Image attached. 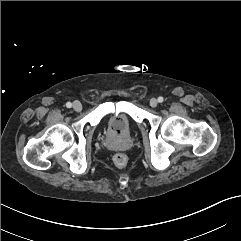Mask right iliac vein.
I'll list each match as a JSON object with an SVG mask.
<instances>
[{
	"mask_svg": "<svg viewBox=\"0 0 241 241\" xmlns=\"http://www.w3.org/2000/svg\"><path fill=\"white\" fill-rule=\"evenodd\" d=\"M73 109L77 112H80L82 110V104L79 101H74Z\"/></svg>",
	"mask_w": 241,
	"mask_h": 241,
	"instance_id": "63e3f726",
	"label": "right iliac vein"
}]
</instances>
